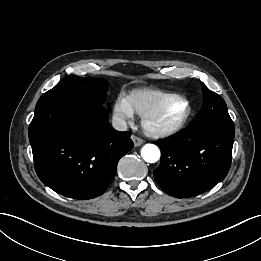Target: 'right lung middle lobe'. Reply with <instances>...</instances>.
Here are the masks:
<instances>
[{"label": "right lung middle lobe", "instance_id": "right-lung-middle-lobe-1", "mask_svg": "<svg viewBox=\"0 0 261 261\" xmlns=\"http://www.w3.org/2000/svg\"><path fill=\"white\" fill-rule=\"evenodd\" d=\"M107 88L108 82L103 79L69 75L44 93L40 99L102 104L106 98Z\"/></svg>", "mask_w": 261, "mask_h": 261}]
</instances>
